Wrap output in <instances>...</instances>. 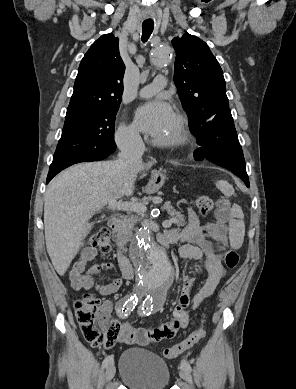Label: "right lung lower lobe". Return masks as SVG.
Listing matches in <instances>:
<instances>
[{"mask_svg":"<svg viewBox=\"0 0 296 389\" xmlns=\"http://www.w3.org/2000/svg\"><path fill=\"white\" fill-rule=\"evenodd\" d=\"M115 151V150H114ZM113 151V152H114ZM112 152V153H113ZM111 154V153H110ZM109 154V155H110ZM61 170H63L62 168H50L49 169V173H48V176H47V180H46V183H48L57 173H59Z\"/></svg>","mask_w":296,"mask_h":389,"instance_id":"98d812e1","label":"right lung lower lobe"}]
</instances>
